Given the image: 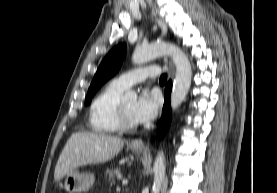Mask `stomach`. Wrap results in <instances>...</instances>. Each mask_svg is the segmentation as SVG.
<instances>
[{"mask_svg": "<svg viewBox=\"0 0 277 193\" xmlns=\"http://www.w3.org/2000/svg\"><path fill=\"white\" fill-rule=\"evenodd\" d=\"M136 152H142L143 148L132 147ZM94 175L73 171L67 174L64 180V188L68 193H85L94 184Z\"/></svg>", "mask_w": 277, "mask_h": 193, "instance_id": "obj_1", "label": "stomach"}]
</instances>
